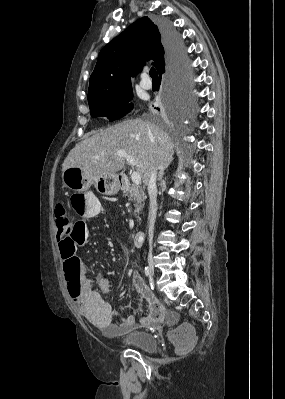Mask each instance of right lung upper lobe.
Here are the masks:
<instances>
[{
	"label": "right lung upper lobe",
	"mask_w": 285,
	"mask_h": 399,
	"mask_svg": "<svg viewBox=\"0 0 285 399\" xmlns=\"http://www.w3.org/2000/svg\"><path fill=\"white\" fill-rule=\"evenodd\" d=\"M165 48L159 26L148 17L132 23L100 52L89 81L88 100L113 95L131 88V77L137 75L149 59L158 73L164 68Z\"/></svg>",
	"instance_id": "right-lung-upper-lobe-1"
}]
</instances>
